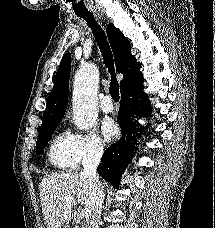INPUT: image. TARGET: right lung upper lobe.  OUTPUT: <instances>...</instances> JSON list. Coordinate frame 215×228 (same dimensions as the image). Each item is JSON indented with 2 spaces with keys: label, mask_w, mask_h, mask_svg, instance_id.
Wrapping results in <instances>:
<instances>
[{
  "label": "right lung upper lobe",
  "mask_w": 215,
  "mask_h": 228,
  "mask_svg": "<svg viewBox=\"0 0 215 228\" xmlns=\"http://www.w3.org/2000/svg\"><path fill=\"white\" fill-rule=\"evenodd\" d=\"M107 36L112 47L116 71L122 73L124 78L120 82V88L131 77L140 75V63L136 62L135 56L131 54L130 42L122 32L113 24L107 26ZM71 69V56L67 53L61 60L56 72L54 87L50 92L45 112L42 118V125L60 122L64 116L69 92V76Z\"/></svg>",
  "instance_id": "right-lung-upper-lobe-1"
}]
</instances>
